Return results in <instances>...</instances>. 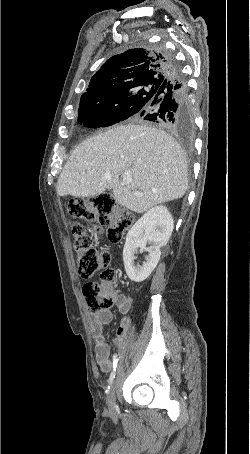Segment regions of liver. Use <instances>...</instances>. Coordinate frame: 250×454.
<instances>
[{
    "instance_id": "1",
    "label": "liver",
    "mask_w": 250,
    "mask_h": 454,
    "mask_svg": "<svg viewBox=\"0 0 250 454\" xmlns=\"http://www.w3.org/2000/svg\"><path fill=\"white\" fill-rule=\"evenodd\" d=\"M125 175L131 181L123 186ZM187 186V163L179 144L165 131L130 124L78 145L59 176L57 193L90 197L112 189L117 203L143 213L182 198Z\"/></svg>"
}]
</instances>
